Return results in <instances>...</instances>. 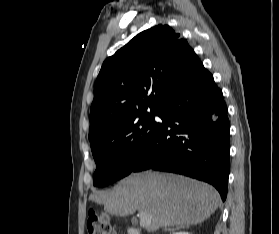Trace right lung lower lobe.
<instances>
[{
	"label": "right lung lower lobe",
	"mask_w": 279,
	"mask_h": 234,
	"mask_svg": "<svg viewBox=\"0 0 279 234\" xmlns=\"http://www.w3.org/2000/svg\"><path fill=\"white\" fill-rule=\"evenodd\" d=\"M150 143L132 172H175L211 183L225 201L229 120L222 91L201 63L159 108Z\"/></svg>",
	"instance_id": "obj_1"
}]
</instances>
